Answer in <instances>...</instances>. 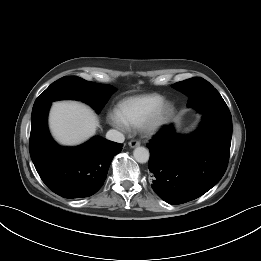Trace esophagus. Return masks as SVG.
I'll return each instance as SVG.
<instances>
[{
    "mask_svg": "<svg viewBox=\"0 0 261 261\" xmlns=\"http://www.w3.org/2000/svg\"><path fill=\"white\" fill-rule=\"evenodd\" d=\"M128 144L131 148H135L140 145V142L138 140H131Z\"/></svg>",
    "mask_w": 261,
    "mask_h": 261,
    "instance_id": "34e87169",
    "label": "esophagus"
}]
</instances>
